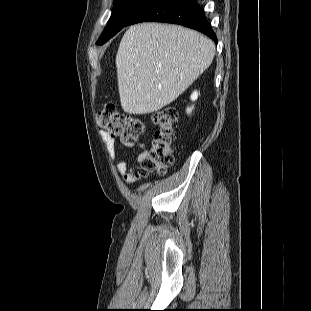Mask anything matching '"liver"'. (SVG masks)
<instances>
[{
  "label": "liver",
  "instance_id": "6515ba94",
  "mask_svg": "<svg viewBox=\"0 0 311 311\" xmlns=\"http://www.w3.org/2000/svg\"><path fill=\"white\" fill-rule=\"evenodd\" d=\"M215 44L177 25L131 26L116 55L122 109L129 114L158 111L181 95L212 63Z\"/></svg>",
  "mask_w": 311,
  "mask_h": 311
}]
</instances>
